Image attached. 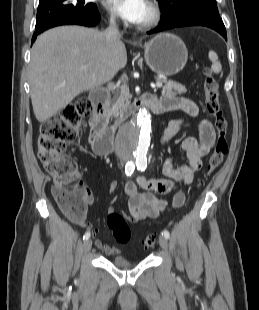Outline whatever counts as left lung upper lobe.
Returning <instances> with one entry per match:
<instances>
[{
    "instance_id": "1",
    "label": "left lung upper lobe",
    "mask_w": 259,
    "mask_h": 310,
    "mask_svg": "<svg viewBox=\"0 0 259 310\" xmlns=\"http://www.w3.org/2000/svg\"><path fill=\"white\" fill-rule=\"evenodd\" d=\"M163 17L160 24H168L193 15L220 17L215 0H158Z\"/></svg>"
}]
</instances>
